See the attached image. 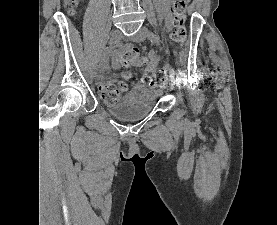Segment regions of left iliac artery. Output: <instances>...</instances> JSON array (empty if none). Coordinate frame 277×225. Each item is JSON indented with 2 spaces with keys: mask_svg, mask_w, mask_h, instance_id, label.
Here are the masks:
<instances>
[{
  "mask_svg": "<svg viewBox=\"0 0 277 225\" xmlns=\"http://www.w3.org/2000/svg\"><path fill=\"white\" fill-rule=\"evenodd\" d=\"M147 36L152 43L159 44V37L155 33L151 32V31H147ZM169 75L174 77L175 71L170 70Z\"/></svg>",
  "mask_w": 277,
  "mask_h": 225,
  "instance_id": "1",
  "label": "left iliac artery"
}]
</instances>
